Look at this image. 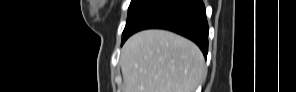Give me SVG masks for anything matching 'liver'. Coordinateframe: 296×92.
<instances>
[{"label":"liver","instance_id":"liver-1","mask_svg":"<svg viewBox=\"0 0 296 92\" xmlns=\"http://www.w3.org/2000/svg\"><path fill=\"white\" fill-rule=\"evenodd\" d=\"M120 64L124 92H194L206 73L198 46L165 30L132 35Z\"/></svg>","mask_w":296,"mask_h":92}]
</instances>
